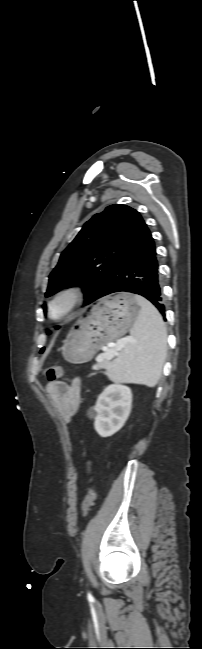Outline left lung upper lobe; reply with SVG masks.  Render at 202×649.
Segmentation results:
<instances>
[{"label": "left lung upper lobe", "instance_id": "obj_1", "mask_svg": "<svg viewBox=\"0 0 202 649\" xmlns=\"http://www.w3.org/2000/svg\"><path fill=\"white\" fill-rule=\"evenodd\" d=\"M143 223L139 212L126 205H111L95 214L62 252L49 276L45 296L70 286H81L86 291L84 304L95 301L126 245Z\"/></svg>", "mask_w": 202, "mask_h": 649}]
</instances>
